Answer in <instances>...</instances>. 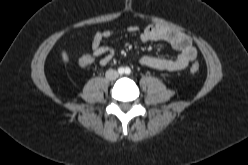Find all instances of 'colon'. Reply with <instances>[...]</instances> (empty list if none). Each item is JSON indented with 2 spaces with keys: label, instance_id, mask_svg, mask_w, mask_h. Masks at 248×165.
Wrapping results in <instances>:
<instances>
[{
  "label": "colon",
  "instance_id": "1",
  "mask_svg": "<svg viewBox=\"0 0 248 165\" xmlns=\"http://www.w3.org/2000/svg\"><path fill=\"white\" fill-rule=\"evenodd\" d=\"M93 57L89 54H85V55H82L80 58H79V64L80 66L82 67H86V66H89L92 64L93 62ZM200 67H199V64L197 63H193L191 66H190V72L191 73H197L199 71Z\"/></svg>",
  "mask_w": 248,
  "mask_h": 165
}]
</instances>
